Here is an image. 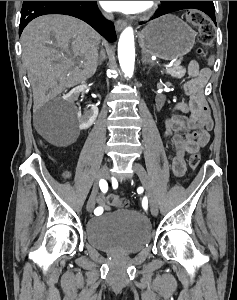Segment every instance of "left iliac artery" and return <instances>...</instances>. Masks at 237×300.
Segmentation results:
<instances>
[{
    "label": "left iliac artery",
    "instance_id": "obj_1",
    "mask_svg": "<svg viewBox=\"0 0 237 300\" xmlns=\"http://www.w3.org/2000/svg\"><path fill=\"white\" fill-rule=\"evenodd\" d=\"M147 198L145 197L144 199H143V201H142V205H143V208L144 209H147Z\"/></svg>",
    "mask_w": 237,
    "mask_h": 300
}]
</instances>
